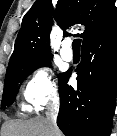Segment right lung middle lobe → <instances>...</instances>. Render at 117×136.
Returning <instances> with one entry per match:
<instances>
[{
  "mask_svg": "<svg viewBox=\"0 0 117 136\" xmlns=\"http://www.w3.org/2000/svg\"><path fill=\"white\" fill-rule=\"evenodd\" d=\"M51 57L33 58L21 60L8 66L4 81V91L1 106L6 107L13 104L20 85L27 76L36 69L50 66ZM63 74H60V77Z\"/></svg>",
  "mask_w": 117,
  "mask_h": 136,
  "instance_id": "obj_1",
  "label": "right lung middle lobe"
}]
</instances>
